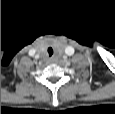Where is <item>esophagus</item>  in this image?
<instances>
[{
    "mask_svg": "<svg viewBox=\"0 0 115 114\" xmlns=\"http://www.w3.org/2000/svg\"><path fill=\"white\" fill-rule=\"evenodd\" d=\"M49 61H50V62H52V61H53V59H49Z\"/></svg>",
    "mask_w": 115,
    "mask_h": 114,
    "instance_id": "obj_1",
    "label": "esophagus"
}]
</instances>
